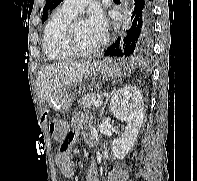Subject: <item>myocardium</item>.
<instances>
[{
	"instance_id": "myocardium-1",
	"label": "myocardium",
	"mask_w": 197,
	"mask_h": 181,
	"mask_svg": "<svg viewBox=\"0 0 197 181\" xmlns=\"http://www.w3.org/2000/svg\"><path fill=\"white\" fill-rule=\"evenodd\" d=\"M80 20H82V19L81 18H73L70 21V23L66 29L65 38H64L65 47L74 57L94 56L101 51V49L105 45L106 39L102 38L100 43L92 49L84 50V49L80 48L77 44V41H76V27H77V23Z\"/></svg>"
}]
</instances>
